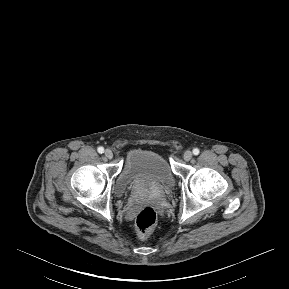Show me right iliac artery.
<instances>
[{"instance_id":"obj_1","label":"right iliac artery","mask_w":289,"mask_h":289,"mask_svg":"<svg viewBox=\"0 0 289 289\" xmlns=\"http://www.w3.org/2000/svg\"><path fill=\"white\" fill-rule=\"evenodd\" d=\"M97 151L102 154L104 152V148L103 147H98Z\"/></svg>"}]
</instances>
